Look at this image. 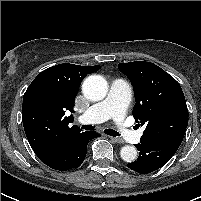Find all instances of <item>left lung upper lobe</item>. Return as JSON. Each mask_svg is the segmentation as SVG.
Returning <instances> with one entry per match:
<instances>
[{"label":"left lung upper lobe","mask_w":201,"mask_h":201,"mask_svg":"<svg viewBox=\"0 0 201 201\" xmlns=\"http://www.w3.org/2000/svg\"><path fill=\"white\" fill-rule=\"evenodd\" d=\"M118 69L134 88L135 121L146 126L140 142L182 141L188 125V109L179 83L151 62L120 63Z\"/></svg>","instance_id":"left-lung-upper-lobe-1"}]
</instances>
